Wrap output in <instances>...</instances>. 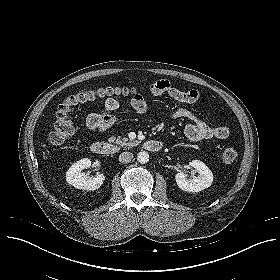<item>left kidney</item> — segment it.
Segmentation results:
<instances>
[{"label": "left kidney", "mask_w": 280, "mask_h": 280, "mask_svg": "<svg viewBox=\"0 0 280 280\" xmlns=\"http://www.w3.org/2000/svg\"><path fill=\"white\" fill-rule=\"evenodd\" d=\"M189 166L194 168L198 176L192 179H187V175L183 172L176 174L175 179L178 187L187 192H200L211 186L213 182V173L200 160H193Z\"/></svg>", "instance_id": "left-kidney-1"}]
</instances>
